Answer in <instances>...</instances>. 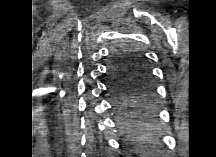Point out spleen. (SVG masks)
I'll return each instance as SVG.
<instances>
[{
  "label": "spleen",
  "instance_id": "3e777b00",
  "mask_svg": "<svg viewBox=\"0 0 216 157\" xmlns=\"http://www.w3.org/2000/svg\"><path fill=\"white\" fill-rule=\"evenodd\" d=\"M133 141L137 143V151L144 157L153 155L152 145L156 143L157 139L151 130L138 127V130L133 135Z\"/></svg>",
  "mask_w": 216,
  "mask_h": 157
}]
</instances>
